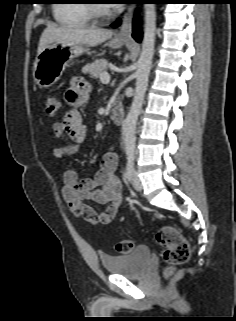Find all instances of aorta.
I'll use <instances>...</instances> for the list:
<instances>
[{
    "label": "aorta",
    "instance_id": "aorta-1",
    "mask_svg": "<svg viewBox=\"0 0 236 321\" xmlns=\"http://www.w3.org/2000/svg\"><path fill=\"white\" fill-rule=\"evenodd\" d=\"M145 25L144 36L142 41V50L137 63L135 73V93L130 107V111L125 119L124 124V140L125 149L133 151L135 149V130L138 116L141 113L142 105L146 89L148 86V78L152 66L154 55L155 35H156V7L155 4H145Z\"/></svg>",
    "mask_w": 236,
    "mask_h": 321
}]
</instances>
